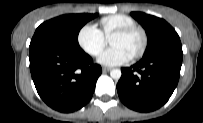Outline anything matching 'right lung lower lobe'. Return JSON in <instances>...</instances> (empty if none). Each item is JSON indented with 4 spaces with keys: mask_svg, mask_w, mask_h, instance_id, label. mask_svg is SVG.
Here are the masks:
<instances>
[{
    "mask_svg": "<svg viewBox=\"0 0 203 123\" xmlns=\"http://www.w3.org/2000/svg\"><path fill=\"white\" fill-rule=\"evenodd\" d=\"M31 76L42 100L59 112H73L87 104L101 75V66L82 49L71 50L30 43Z\"/></svg>",
    "mask_w": 203,
    "mask_h": 123,
    "instance_id": "1",
    "label": "right lung lower lobe"
}]
</instances>
